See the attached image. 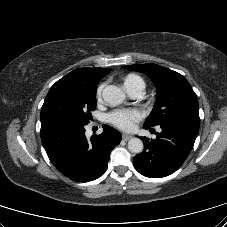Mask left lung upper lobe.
I'll return each instance as SVG.
<instances>
[{
	"mask_svg": "<svg viewBox=\"0 0 227 227\" xmlns=\"http://www.w3.org/2000/svg\"><path fill=\"white\" fill-rule=\"evenodd\" d=\"M123 68L148 75L156 86V102L144 127L150 128L172 121L200 123L197 96L181 74L156 64L129 65Z\"/></svg>",
	"mask_w": 227,
	"mask_h": 227,
	"instance_id": "obj_1",
	"label": "left lung upper lobe"
}]
</instances>
